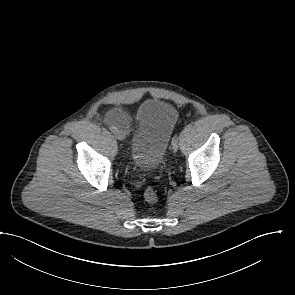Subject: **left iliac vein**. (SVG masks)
<instances>
[{"label":"left iliac vein","instance_id":"obj_1","mask_svg":"<svg viewBox=\"0 0 295 295\" xmlns=\"http://www.w3.org/2000/svg\"><path fill=\"white\" fill-rule=\"evenodd\" d=\"M178 150V141L172 143V151L177 152Z\"/></svg>","mask_w":295,"mask_h":295}]
</instances>
